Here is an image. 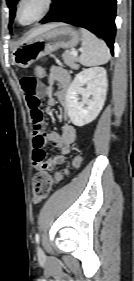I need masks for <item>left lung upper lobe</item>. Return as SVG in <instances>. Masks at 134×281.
<instances>
[{
  "instance_id": "5c2ea615",
  "label": "left lung upper lobe",
  "mask_w": 134,
  "mask_h": 281,
  "mask_svg": "<svg viewBox=\"0 0 134 281\" xmlns=\"http://www.w3.org/2000/svg\"><path fill=\"white\" fill-rule=\"evenodd\" d=\"M18 0H7V5L10 8V25L14 19L15 12H16V3Z\"/></svg>"
}]
</instances>
